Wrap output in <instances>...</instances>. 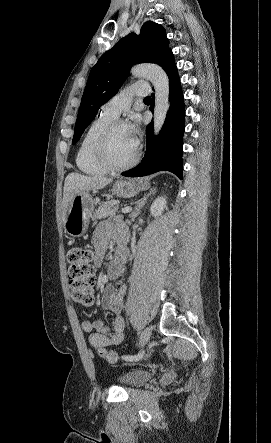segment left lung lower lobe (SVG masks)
I'll return each instance as SVG.
<instances>
[{
	"mask_svg": "<svg viewBox=\"0 0 271 443\" xmlns=\"http://www.w3.org/2000/svg\"><path fill=\"white\" fill-rule=\"evenodd\" d=\"M170 81V108L158 137L153 136V123L147 125V146L141 163L124 173L127 177H141L167 170L182 179V146L185 107L180 80L173 54L168 51L158 62ZM150 110L154 111V95Z\"/></svg>",
	"mask_w": 271,
	"mask_h": 443,
	"instance_id": "obj_1",
	"label": "left lung lower lobe"
}]
</instances>
